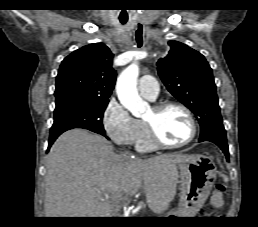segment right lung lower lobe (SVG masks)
<instances>
[{
  "instance_id": "1",
  "label": "right lung lower lobe",
  "mask_w": 258,
  "mask_h": 227,
  "mask_svg": "<svg viewBox=\"0 0 258 227\" xmlns=\"http://www.w3.org/2000/svg\"><path fill=\"white\" fill-rule=\"evenodd\" d=\"M74 127L69 126V125H64V124H53V126L51 127V131H50V138H49V145H48V149H50L51 145L53 144V142L56 140V138L62 134L64 131H67L69 129H73ZM105 136V134H103Z\"/></svg>"
}]
</instances>
